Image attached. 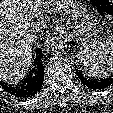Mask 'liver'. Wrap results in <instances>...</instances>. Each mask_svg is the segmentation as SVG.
Returning a JSON list of instances; mask_svg holds the SVG:
<instances>
[{
  "mask_svg": "<svg viewBox=\"0 0 113 113\" xmlns=\"http://www.w3.org/2000/svg\"><path fill=\"white\" fill-rule=\"evenodd\" d=\"M54 1L0 0V80L18 83L25 77L32 58V22L43 17L42 5ZM58 11L72 13V2L56 1Z\"/></svg>",
  "mask_w": 113,
  "mask_h": 113,
  "instance_id": "obj_1",
  "label": "liver"
}]
</instances>
